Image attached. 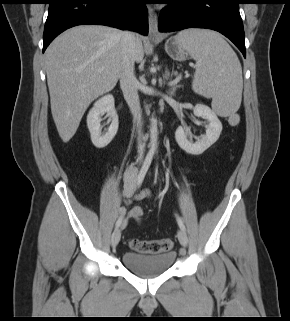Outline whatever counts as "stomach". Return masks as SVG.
I'll list each match as a JSON object with an SVG mask.
<instances>
[{
	"mask_svg": "<svg viewBox=\"0 0 290 321\" xmlns=\"http://www.w3.org/2000/svg\"><path fill=\"white\" fill-rule=\"evenodd\" d=\"M165 51L176 61H185L190 55L189 52L178 43L176 37H172L166 41Z\"/></svg>",
	"mask_w": 290,
	"mask_h": 321,
	"instance_id": "obj_1",
	"label": "stomach"
}]
</instances>
